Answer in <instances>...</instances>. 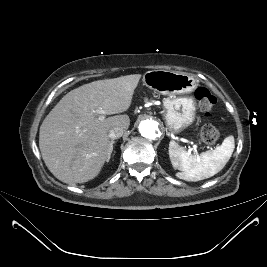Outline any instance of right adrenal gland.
<instances>
[{
    "label": "right adrenal gland",
    "instance_id": "1",
    "mask_svg": "<svg viewBox=\"0 0 267 267\" xmlns=\"http://www.w3.org/2000/svg\"><path fill=\"white\" fill-rule=\"evenodd\" d=\"M115 143V141L114 140H112L111 141V152H110V155H109V157H108V159H107V161H109V159H110V157H111V153H112V151H113V144Z\"/></svg>",
    "mask_w": 267,
    "mask_h": 267
}]
</instances>
